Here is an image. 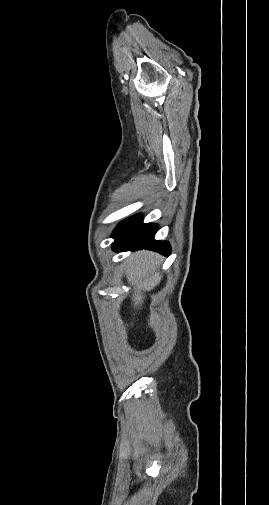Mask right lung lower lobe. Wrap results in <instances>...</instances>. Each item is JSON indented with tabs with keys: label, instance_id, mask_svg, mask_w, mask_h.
Instances as JSON below:
<instances>
[{
	"label": "right lung lower lobe",
	"instance_id": "98d812e1",
	"mask_svg": "<svg viewBox=\"0 0 269 505\" xmlns=\"http://www.w3.org/2000/svg\"><path fill=\"white\" fill-rule=\"evenodd\" d=\"M157 224H144L140 214L131 216L118 224L112 237L115 239L112 249L115 252L131 248H145L163 255H169L171 248L166 241L154 240Z\"/></svg>",
	"mask_w": 269,
	"mask_h": 505
}]
</instances>
